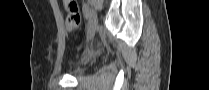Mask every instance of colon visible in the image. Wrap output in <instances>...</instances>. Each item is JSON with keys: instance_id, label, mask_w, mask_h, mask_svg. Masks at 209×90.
I'll use <instances>...</instances> for the list:
<instances>
[{"instance_id": "obj_1", "label": "colon", "mask_w": 209, "mask_h": 90, "mask_svg": "<svg viewBox=\"0 0 209 90\" xmlns=\"http://www.w3.org/2000/svg\"><path fill=\"white\" fill-rule=\"evenodd\" d=\"M68 16L66 19V28L70 32H77L81 28V14L76 1L64 0Z\"/></svg>"}]
</instances>
